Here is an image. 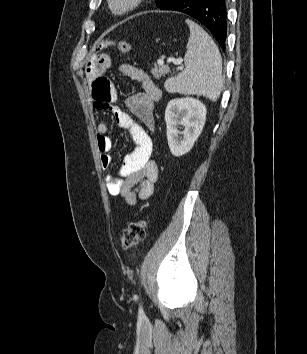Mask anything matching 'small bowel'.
<instances>
[{
  "instance_id": "c3829d8e",
  "label": "small bowel",
  "mask_w": 307,
  "mask_h": 354,
  "mask_svg": "<svg viewBox=\"0 0 307 354\" xmlns=\"http://www.w3.org/2000/svg\"><path fill=\"white\" fill-rule=\"evenodd\" d=\"M111 60L105 53L93 55L86 63V79L91 85L94 107L111 113L117 125L129 131L135 144L134 149L124 158L118 171V177L108 176L106 187L109 194L121 196L131 206L138 200L150 198L158 180L157 162L151 159L153 142L150 132L154 130V103L161 97L160 89L154 84L149 74L130 64L120 66V71L136 81L141 91L126 99L130 113L117 104V91L104 75L109 69ZM108 124L100 121L97 124V146L103 169L112 164L110 151L112 140L108 135Z\"/></svg>"
}]
</instances>
